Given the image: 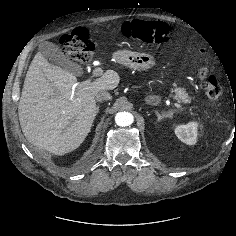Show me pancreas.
Here are the masks:
<instances>
[{
	"mask_svg": "<svg viewBox=\"0 0 236 236\" xmlns=\"http://www.w3.org/2000/svg\"><path fill=\"white\" fill-rule=\"evenodd\" d=\"M175 98L179 102L189 103L191 101V97L189 94L185 91V89L182 88H175Z\"/></svg>",
	"mask_w": 236,
	"mask_h": 236,
	"instance_id": "1",
	"label": "pancreas"
}]
</instances>
